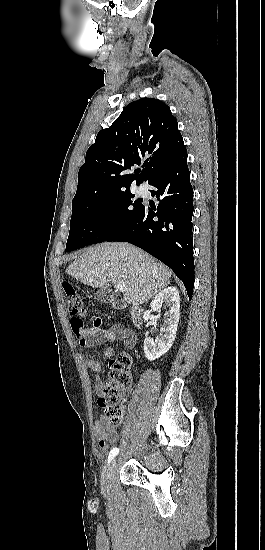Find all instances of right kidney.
I'll list each match as a JSON object with an SVG mask.
<instances>
[{
    "instance_id": "obj_1",
    "label": "right kidney",
    "mask_w": 265,
    "mask_h": 550,
    "mask_svg": "<svg viewBox=\"0 0 265 550\" xmlns=\"http://www.w3.org/2000/svg\"><path fill=\"white\" fill-rule=\"evenodd\" d=\"M165 303L169 307L168 318L164 319V334L157 336L155 341L145 333L144 354L149 361L156 360L168 352L171 348L177 332L180 318V296L176 287H167L160 291L150 303V310L144 312L143 319L148 321L151 312H160L161 305Z\"/></svg>"
}]
</instances>
